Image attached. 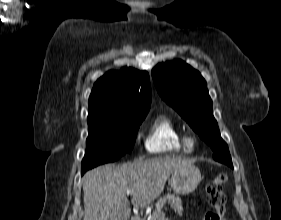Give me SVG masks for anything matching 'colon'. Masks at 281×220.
<instances>
[{"label": "colon", "mask_w": 281, "mask_h": 220, "mask_svg": "<svg viewBox=\"0 0 281 220\" xmlns=\"http://www.w3.org/2000/svg\"><path fill=\"white\" fill-rule=\"evenodd\" d=\"M226 180V175L221 173L208 183L206 199L211 211L205 215L203 220H226L227 199L224 192Z\"/></svg>", "instance_id": "colon-1"}]
</instances>
